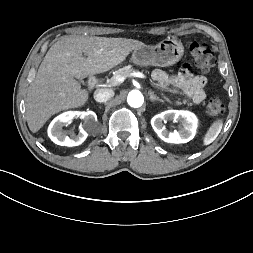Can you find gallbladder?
<instances>
[{
	"label": "gallbladder",
	"instance_id": "1",
	"mask_svg": "<svg viewBox=\"0 0 253 253\" xmlns=\"http://www.w3.org/2000/svg\"><path fill=\"white\" fill-rule=\"evenodd\" d=\"M79 82L82 83V84H84V81H82V80H79Z\"/></svg>",
	"mask_w": 253,
	"mask_h": 253
}]
</instances>
